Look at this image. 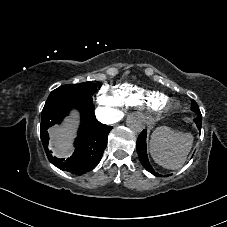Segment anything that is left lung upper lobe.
<instances>
[{
  "label": "left lung upper lobe",
  "instance_id": "left-lung-upper-lobe-1",
  "mask_svg": "<svg viewBox=\"0 0 227 227\" xmlns=\"http://www.w3.org/2000/svg\"><path fill=\"white\" fill-rule=\"evenodd\" d=\"M191 110L194 111L197 114V117L194 120L201 122L202 121V115H201V112L199 110L197 103L194 100H192Z\"/></svg>",
  "mask_w": 227,
  "mask_h": 227
}]
</instances>
